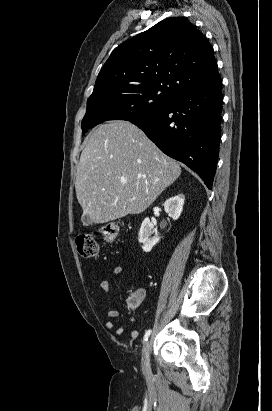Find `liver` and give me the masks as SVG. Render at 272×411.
<instances>
[{"label": "liver", "instance_id": "liver-1", "mask_svg": "<svg viewBox=\"0 0 272 411\" xmlns=\"http://www.w3.org/2000/svg\"><path fill=\"white\" fill-rule=\"evenodd\" d=\"M180 174L179 164L137 126L111 121L88 136L76 196L90 223H107L145 211Z\"/></svg>", "mask_w": 272, "mask_h": 411}]
</instances>
